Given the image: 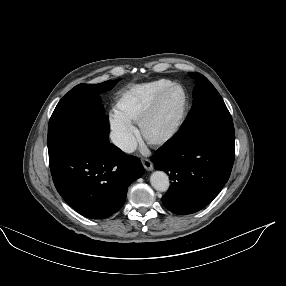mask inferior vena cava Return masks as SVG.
Segmentation results:
<instances>
[{
    "mask_svg": "<svg viewBox=\"0 0 286 286\" xmlns=\"http://www.w3.org/2000/svg\"><path fill=\"white\" fill-rule=\"evenodd\" d=\"M111 140L117 147L125 152H132L135 148L133 137L127 132H112Z\"/></svg>",
    "mask_w": 286,
    "mask_h": 286,
    "instance_id": "inferior-vena-cava-1",
    "label": "inferior vena cava"
}]
</instances>
